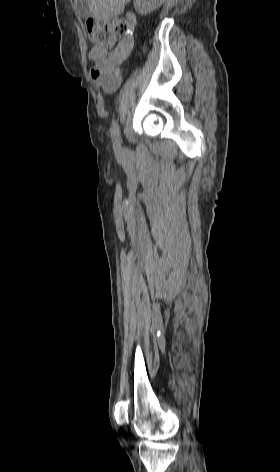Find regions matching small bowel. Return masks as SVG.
Masks as SVG:
<instances>
[{
	"instance_id": "c3829d8e",
	"label": "small bowel",
	"mask_w": 280,
	"mask_h": 472,
	"mask_svg": "<svg viewBox=\"0 0 280 472\" xmlns=\"http://www.w3.org/2000/svg\"><path fill=\"white\" fill-rule=\"evenodd\" d=\"M132 26L136 24L134 17L129 18ZM134 46V40L128 35L120 40L117 46L108 53L106 48L93 47L89 51V58L94 65L90 68V75L96 86L104 93L115 92L121 84V65L127 60Z\"/></svg>"
}]
</instances>
